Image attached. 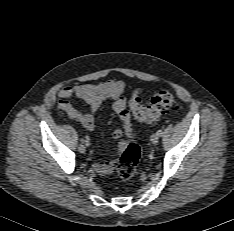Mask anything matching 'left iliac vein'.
<instances>
[{
    "instance_id": "4c4485c4",
    "label": "left iliac vein",
    "mask_w": 234,
    "mask_h": 231,
    "mask_svg": "<svg viewBox=\"0 0 234 231\" xmlns=\"http://www.w3.org/2000/svg\"><path fill=\"white\" fill-rule=\"evenodd\" d=\"M150 140L152 144H157L159 142V136L156 133H154L151 135Z\"/></svg>"
}]
</instances>
